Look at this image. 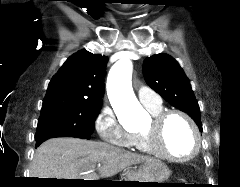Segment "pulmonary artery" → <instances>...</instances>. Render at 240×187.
Segmentation results:
<instances>
[{"instance_id": "obj_1", "label": "pulmonary artery", "mask_w": 240, "mask_h": 187, "mask_svg": "<svg viewBox=\"0 0 240 187\" xmlns=\"http://www.w3.org/2000/svg\"><path fill=\"white\" fill-rule=\"evenodd\" d=\"M137 96L139 101L146 108H158L162 105V100L160 96L154 92L152 89L146 86H141L137 90Z\"/></svg>"}]
</instances>
